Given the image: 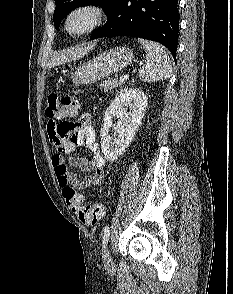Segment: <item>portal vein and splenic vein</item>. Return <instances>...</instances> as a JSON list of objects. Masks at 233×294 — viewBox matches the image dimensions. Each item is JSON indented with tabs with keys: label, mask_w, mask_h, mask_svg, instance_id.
<instances>
[{
	"label": "portal vein and splenic vein",
	"mask_w": 233,
	"mask_h": 294,
	"mask_svg": "<svg viewBox=\"0 0 233 294\" xmlns=\"http://www.w3.org/2000/svg\"><path fill=\"white\" fill-rule=\"evenodd\" d=\"M128 78H129V75H121V76L119 77V79H120L121 81L127 80Z\"/></svg>",
	"instance_id": "portal-vein-and-splenic-vein-1"
}]
</instances>
